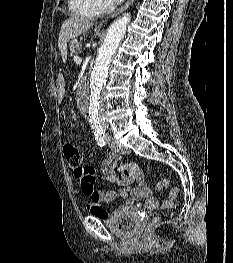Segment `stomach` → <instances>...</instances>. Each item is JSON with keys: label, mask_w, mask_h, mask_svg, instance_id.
Wrapping results in <instances>:
<instances>
[{"label": "stomach", "mask_w": 233, "mask_h": 263, "mask_svg": "<svg viewBox=\"0 0 233 263\" xmlns=\"http://www.w3.org/2000/svg\"><path fill=\"white\" fill-rule=\"evenodd\" d=\"M55 82H58V91H66L67 88L71 87V84L67 83V80H65L64 77H55Z\"/></svg>", "instance_id": "stomach-1"}]
</instances>
